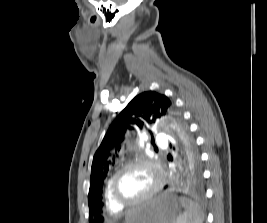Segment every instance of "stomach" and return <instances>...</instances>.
<instances>
[{
    "label": "stomach",
    "mask_w": 267,
    "mask_h": 223,
    "mask_svg": "<svg viewBox=\"0 0 267 223\" xmlns=\"http://www.w3.org/2000/svg\"><path fill=\"white\" fill-rule=\"evenodd\" d=\"M180 201L171 193L153 196L135 207L125 223H176Z\"/></svg>",
    "instance_id": "obj_1"
}]
</instances>
